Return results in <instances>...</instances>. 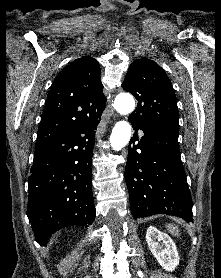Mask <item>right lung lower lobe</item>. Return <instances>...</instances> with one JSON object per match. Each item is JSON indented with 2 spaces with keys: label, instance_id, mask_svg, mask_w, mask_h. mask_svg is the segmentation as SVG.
Segmentation results:
<instances>
[{
  "label": "right lung lower lobe",
  "instance_id": "98d812e1",
  "mask_svg": "<svg viewBox=\"0 0 221 278\" xmlns=\"http://www.w3.org/2000/svg\"><path fill=\"white\" fill-rule=\"evenodd\" d=\"M99 122L88 119L35 148L27 216L40 245L61 228L95 219L91 162Z\"/></svg>",
  "mask_w": 221,
  "mask_h": 278
}]
</instances>
